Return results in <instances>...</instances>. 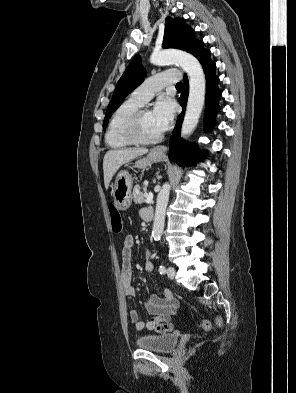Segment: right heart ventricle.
<instances>
[{
    "label": "right heart ventricle",
    "instance_id": "obj_1",
    "mask_svg": "<svg viewBox=\"0 0 296 393\" xmlns=\"http://www.w3.org/2000/svg\"><path fill=\"white\" fill-rule=\"evenodd\" d=\"M141 105L130 99L121 103L113 112L106 133L105 141L112 149H123L133 145L124 134L125 126Z\"/></svg>",
    "mask_w": 296,
    "mask_h": 393
}]
</instances>
